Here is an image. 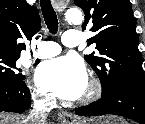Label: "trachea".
<instances>
[{"label": "trachea", "instance_id": "trachea-1", "mask_svg": "<svg viewBox=\"0 0 145 124\" xmlns=\"http://www.w3.org/2000/svg\"><path fill=\"white\" fill-rule=\"evenodd\" d=\"M40 5L49 32L56 34L58 31V19L50 0H41Z\"/></svg>", "mask_w": 145, "mask_h": 124}]
</instances>
